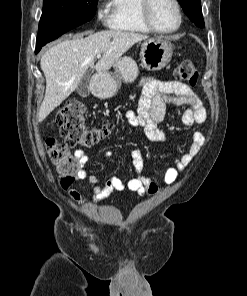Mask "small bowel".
<instances>
[{"label":"small bowel","mask_w":247,"mask_h":296,"mask_svg":"<svg viewBox=\"0 0 247 296\" xmlns=\"http://www.w3.org/2000/svg\"><path fill=\"white\" fill-rule=\"evenodd\" d=\"M138 87L141 89V95L137 109L136 111H128L126 119L132 128L142 129L147 139L152 142L165 140V134L159 128V123L164 118L167 105L184 108L180 119L188 128L206 120V109L200 98L188 85L182 82L145 77L141 79ZM189 139L188 150L175 159L173 166L164 171L161 180L153 176L142 175L145 161L139 149H134L131 152L135 176L127 182L122 181L116 175L102 181L97 175L89 174L86 169L89 157L84 151L77 150L75 156L80 164L77 179L87 181L91 185L94 202L105 200L115 190L120 192L131 191L141 197L154 195L163 186L172 185L177 181L180 174L205 143V136L199 131H191ZM110 154L111 152L107 153V155ZM69 194L73 201L79 202L81 200V194L77 189L70 188Z\"/></svg>","instance_id":"obj_1"}]
</instances>
